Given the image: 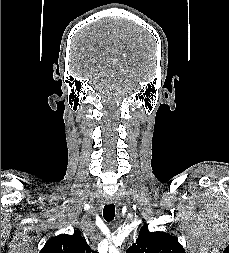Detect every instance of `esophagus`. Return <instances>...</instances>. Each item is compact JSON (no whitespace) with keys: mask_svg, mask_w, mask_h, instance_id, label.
I'll return each instance as SVG.
<instances>
[{"mask_svg":"<svg viewBox=\"0 0 229 253\" xmlns=\"http://www.w3.org/2000/svg\"><path fill=\"white\" fill-rule=\"evenodd\" d=\"M106 203L113 204V203H116V200L113 197H108V198H106Z\"/></svg>","mask_w":229,"mask_h":253,"instance_id":"esophagus-1","label":"esophagus"}]
</instances>
